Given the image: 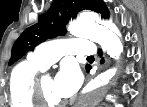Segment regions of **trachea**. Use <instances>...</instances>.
I'll use <instances>...</instances> for the list:
<instances>
[{"label":"trachea","instance_id":"3493384b","mask_svg":"<svg viewBox=\"0 0 147 107\" xmlns=\"http://www.w3.org/2000/svg\"><path fill=\"white\" fill-rule=\"evenodd\" d=\"M87 58L88 59H94V56H88Z\"/></svg>","mask_w":147,"mask_h":107}]
</instances>
